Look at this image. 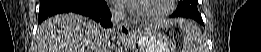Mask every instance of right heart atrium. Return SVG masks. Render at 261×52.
<instances>
[{
	"mask_svg": "<svg viewBox=\"0 0 261 52\" xmlns=\"http://www.w3.org/2000/svg\"><path fill=\"white\" fill-rule=\"evenodd\" d=\"M115 13H116L117 15H121V14H122V9L119 8V7L116 8Z\"/></svg>",
	"mask_w": 261,
	"mask_h": 52,
	"instance_id": "1",
	"label": "right heart atrium"
}]
</instances>
